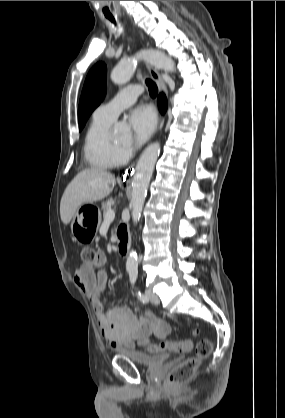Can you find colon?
<instances>
[{"mask_svg": "<svg viewBox=\"0 0 285 418\" xmlns=\"http://www.w3.org/2000/svg\"><path fill=\"white\" fill-rule=\"evenodd\" d=\"M97 252L92 247H85L81 250V259L84 263H92L96 258ZM197 334V331L194 332ZM191 347L190 340L182 341H163L159 343H152L147 346V349L151 352H174L181 353L189 350ZM213 348V342L211 339H201L195 348V355L187 358L180 364H178L170 372L167 380V387H176L188 382L195 374L200 364L211 353Z\"/></svg>", "mask_w": 285, "mask_h": 418, "instance_id": "1", "label": "colon"}]
</instances>
